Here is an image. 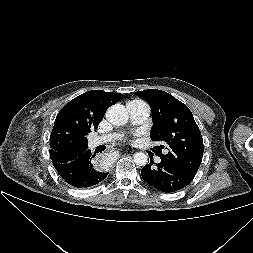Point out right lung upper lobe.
Instances as JSON below:
<instances>
[{
    "mask_svg": "<svg viewBox=\"0 0 253 253\" xmlns=\"http://www.w3.org/2000/svg\"><path fill=\"white\" fill-rule=\"evenodd\" d=\"M122 98L121 93L92 90L67 103L58 113L51 132V160L68 161L87 151L86 135L97 130L107 108Z\"/></svg>",
    "mask_w": 253,
    "mask_h": 253,
    "instance_id": "cb5924a9",
    "label": "right lung upper lobe"
}]
</instances>
